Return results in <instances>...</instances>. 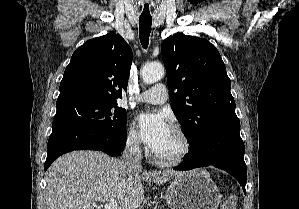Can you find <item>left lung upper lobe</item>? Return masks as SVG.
I'll use <instances>...</instances> for the list:
<instances>
[{
  "label": "left lung upper lobe",
  "instance_id": "left-lung-upper-lobe-1",
  "mask_svg": "<svg viewBox=\"0 0 299 209\" xmlns=\"http://www.w3.org/2000/svg\"><path fill=\"white\" fill-rule=\"evenodd\" d=\"M161 52L172 110L190 145L214 124L237 117L231 82L213 44L178 33L163 41Z\"/></svg>",
  "mask_w": 299,
  "mask_h": 209
}]
</instances>
